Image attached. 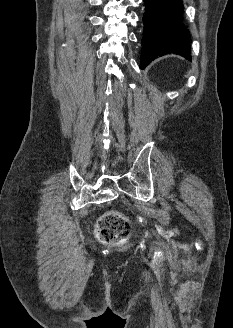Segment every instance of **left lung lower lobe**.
<instances>
[{
  "instance_id": "left-lung-lower-lobe-1",
  "label": "left lung lower lobe",
  "mask_w": 233,
  "mask_h": 328,
  "mask_svg": "<svg viewBox=\"0 0 233 328\" xmlns=\"http://www.w3.org/2000/svg\"><path fill=\"white\" fill-rule=\"evenodd\" d=\"M141 65L167 53H175L191 60L189 32L182 23L181 0H144Z\"/></svg>"
}]
</instances>
